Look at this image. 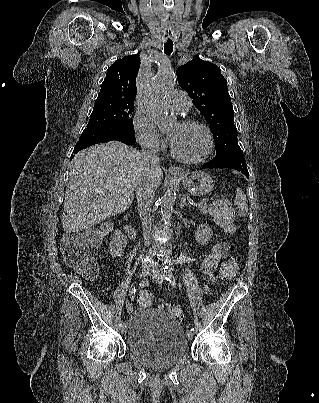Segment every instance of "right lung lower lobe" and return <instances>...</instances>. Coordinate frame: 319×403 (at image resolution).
Listing matches in <instances>:
<instances>
[{
    "label": "right lung lower lobe",
    "mask_w": 319,
    "mask_h": 403,
    "mask_svg": "<svg viewBox=\"0 0 319 403\" xmlns=\"http://www.w3.org/2000/svg\"><path fill=\"white\" fill-rule=\"evenodd\" d=\"M112 140H117L128 145H133L136 142L134 132H130L120 126L102 125L86 128L74 147L72 158L74 157L73 154H76L91 145Z\"/></svg>",
    "instance_id": "obj_1"
}]
</instances>
